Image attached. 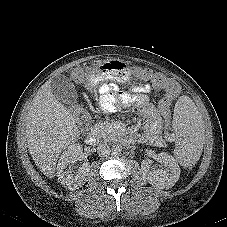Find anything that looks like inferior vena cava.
Listing matches in <instances>:
<instances>
[{
    "mask_svg": "<svg viewBox=\"0 0 227 227\" xmlns=\"http://www.w3.org/2000/svg\"><path fill=\"white\" fill-rule=\"evenodd\" d=\"M99 156H108L111 153L110 146L107 143H100L97 147Z\"/></svg>",
    "mask_w": 227,
    "mask_h": 227,
    "instance_id": "1",
    "label": "inferior vena cava"
}]
</instances>
